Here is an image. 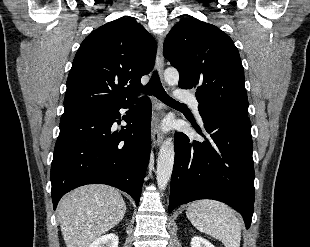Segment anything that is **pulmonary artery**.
Returning <instances> with one entry per match:
<instances>
[{"label":"pulmonary artery","mask_w":310,"mask_h":247,"mask_svg":"<svg viewBox=\"0 0 310 247\" xmlns=\"http://www.w3.org/2000/svg\"><path fill=\"white\" fill-rule=\"evenodd\" d=\"M174 95L178 100L188 103L193 108L197 117L200 119L199 102L192 94L176 91Z\"/></svg>","instance_id":"pulmonary-artery-1"}]
</instances>
